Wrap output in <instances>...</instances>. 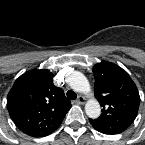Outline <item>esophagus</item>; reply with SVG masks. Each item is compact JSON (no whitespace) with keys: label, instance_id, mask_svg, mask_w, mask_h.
<instances>
[{"label":"esophagus","instance_id":"esophagus-1","mask_svg":"<svg viewBox=\"0 0 145 145\" xmlns=\"http://www.w3.org/2000/svg\"><path fill=\"white\" fill-rule=\"evenodd\" d=\"M86 99L83 96H79L76 100L77 104H84Z\"/></svg>","mask_w":145,"mask_h":145}]
</instances>
